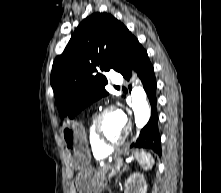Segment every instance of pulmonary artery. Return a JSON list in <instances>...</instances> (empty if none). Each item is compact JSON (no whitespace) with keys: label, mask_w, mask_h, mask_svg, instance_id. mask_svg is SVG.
Instances as JSON below:
<instances>
[{"label":"pulmonary artery","mask_w":221,"mask_h":193,"mask_svg":"<svg viewBox=\"0 0 221 193\" xmlns=\"http://www.w3.org/2000/svg\"><path fill=\"white\" fill-rule=\"evenodd\" d=\"M112 82L116 87L120 86L123 83L122 75L118 72H115L112 76Z\"/></svg>","instance_id":"pulmonary-artery-1"}]
</instances>
